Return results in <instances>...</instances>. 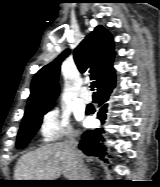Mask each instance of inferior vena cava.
Masks as SVG:
<instances>
[{
    "label": "inferior vena cava",
    "instance_id": "obj_1",
    "mask_svg": "<svg viewBox=\"0 0 160 187\" xmlns=\"http://www.w3.org/2000/svg\"><path fill=\"white\" fill-rule=\"evenodd\" d=\"M77 144L78 143L75 139L74 134H72L69 137V139L66 141L67 148L74 155V157L78 163V167H79V179L78 180H88L89 179L88 172H87L86 168L84 167V165L81 163V159H80V156L77 151Z\"/></svg>",
    "mask_w": 160,
    "mask_h": 187
}]
</instances>
